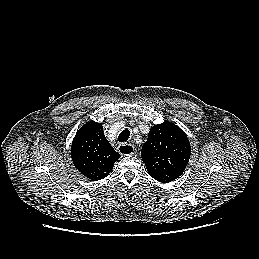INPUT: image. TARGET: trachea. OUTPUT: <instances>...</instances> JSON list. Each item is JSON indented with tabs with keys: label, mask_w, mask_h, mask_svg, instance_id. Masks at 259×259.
<instances>
[{
	"label": "trachea",
	"mask_w": 259,
	"mask_h": 259,
	"mask_svg": "<svg viewBox=\"0 0 259 259\" xmlns=\"http://www.w3.org/2000/svg\"><path fill=\"white\" fill-rule=\"evenodd\" d=\"M130 136V131L128 129L123 130L119 136H118V141L119 142H127Z\"/></svg>",
	"instance_id": "1"
}]
</instances>
